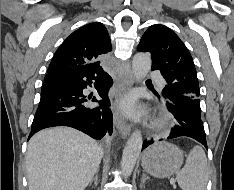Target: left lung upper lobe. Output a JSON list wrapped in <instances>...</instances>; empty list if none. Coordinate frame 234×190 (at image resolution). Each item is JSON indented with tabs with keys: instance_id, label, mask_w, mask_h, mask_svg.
<instances>
[{
	"instance_id": "1",
	"label": "left lung upper lobe",
	"mask_w": 234,
	"mask_h": 190,
	"mask_svg": "<svg viewBox=\"0 0 234 190\" xmlns=\"http://www.w3.org/2000/svg\"><path fill=\"white\" fill-rule=\"evenodd\" d=\"M138 51L150 52L152 67L159 69L167 85L162 92L201 115L199 84L190 52L179 37L164 25L150 26Z\"/></svg>"
}]
</instances>
